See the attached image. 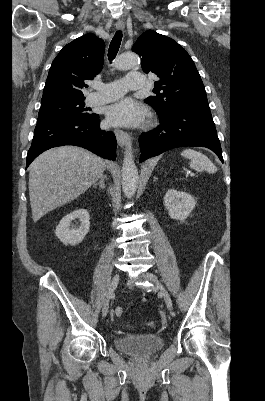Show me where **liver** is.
Listing matches in <instances>:
<instances>
[{
    "mask_svg": "<svg viewBox=\"0 0 265 401\" xmlns=\"http://www.w3.org/2000/svg\"><path fill=\"white\" fill-rule=\"evenodd\" d=\"M106 160L79 146H58L39 154L29 166L32 219L37 223L49 211L62 207L94 184Z\"/></svg>",
    "mask_w": 265,
    "mask_h": 401,
    "instance_id": "6515ba94",
    "label": "liver"
}]
</instances>
